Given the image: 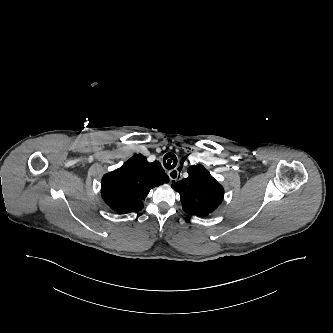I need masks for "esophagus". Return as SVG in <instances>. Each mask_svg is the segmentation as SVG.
Returning <instances> with one entry per match:
<instances>
[{"label":"esophagus","instance_id":"1","mask_svg":"<svg viewBox=\"0 0 333 333\" xmlns=\"http://www.w3.org/2000/svg\"><path fill=\"white\" fill-rule=\"evenodd\" d=\"M180 168L172 169L168 172V176L171 182H177L181 179V173H179Z\"/></svg>","mask_w":333,"mask_h":333}]
</instances>
